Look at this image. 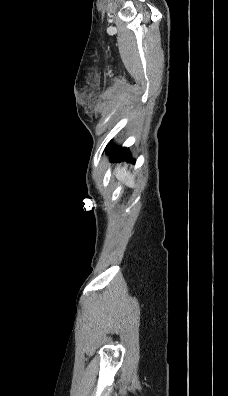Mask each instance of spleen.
I'll list each match as a JSON object with an SVG mask.
<instances>
[{
    "mask_svg": "<svg viewBox=\"0 0 228 396\" xmlns=\"http://www.w3.org/2000/svg\"><path fill=\"white\" fill-rule=\"evenodd\" d=\"M115 174L118 180L126 181V185L129 187H134L135 182L133 176H129V173L123 168H117Z\"/></svg>",
    "mask_w": 228,
    "mask_h": 396,
    "instance_id": "obj_1",
    "label": "spleen"
}]
</instances>
